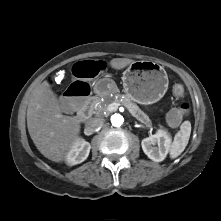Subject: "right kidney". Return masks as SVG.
Wrapping results in <instances>:
<instances>
[{"label": "right kidney", "instance_id": "right-kidney-1", "mask_svg": "<svg viewBox=\"0 0 221 221\" xmlns=\"http://www.w3.org/2000/svg\"><path fill=\"white\" fill-rule=\"evenodd\" d=\"M91 146L84 139H77L70 151L67 154V164L72 166L85 161L89 155Z\"/></svg>", "mask_w": 221, "mask_h": 221}]
</instances>
